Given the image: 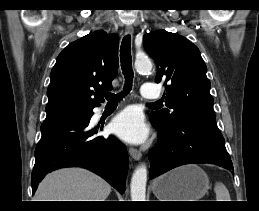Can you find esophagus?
<instances>
[{"label": "esophagus", "mask_w": 259, "mask_h": 211, "mask_svg": "<svg viewBox=\"0 0 259 211\" xmlns=\"http://www.w3.org/2000/svg\"><path fill=\"white\" fill-rule=\"evenodd\" d=\"M125 32H126V34L132 36L133 33H134L133 26H131V25L126 26ZM129 153H130L131 157H132L133 159H135V160H139V159L142 157L141 152H140L139 150H137L136 148H133V147H131V148L129 149Z\"/></svg>", "instance_id": "34e87169"}]
</instances>
